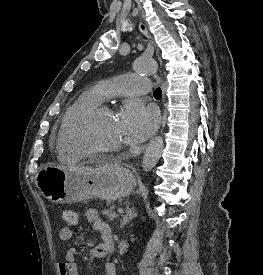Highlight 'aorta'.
<instances>
[{
    "label": "aorta",
    "mask_w": 263,
    "mask_h": 275,
    "mask_svg": "<svg viewBox=\"0 0 263 275\" xmlns=\"http://www.w3.org/2000/svg\"><path fill=\"white\" fill-rule=\"evenodd\" d=\"M134 69L138 73L153 74L157 71V63L150 59H138L134 63ZM164 149V140L161 136L153 138L144 153L142 168L151 171L159 161Z\"/></svg>",
    "instance_id": "762f6f07"
}]
</instances>
